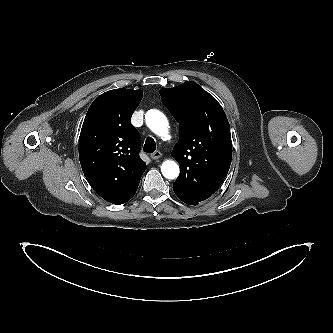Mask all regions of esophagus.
I'll list each match as a JSON object with an SVG mask.
<instances>
[{
	"instance_id": "34e87169",
	"label": "esophagus",
	"mask_w": 333,
	"mask_h": 333,
	"mask_svg": "<svg viewBox=\"0 0 333 333\" xmlns=\"http://www.w3.org/2000/svg\"><path fill=\"white\" fill-rule=\"evenodd\" d=\"M150 156L152 159L157 160L162 156V153L160 151H155Z\"/></svg>"
}]
</instances>
